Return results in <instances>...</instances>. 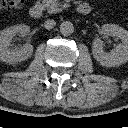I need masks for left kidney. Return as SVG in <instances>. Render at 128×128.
<instances>
[{"label":"left kidney","instance_id":"left-kidney-1","mask_svg":"<svg viewBox=\"0 0 128 128\" xmlns=\"http://www.w3.org/2000/svg\"><path fill=\"white\" fill-rule=\"evenodd\" d=\"M102 30L105 34L121 39L122 43L117 45L111 52L103 50V43L96 38L93 41L92 53L94 58L106 67H114L128 61V31L115 24H104Z\"/></svg>","mask_w":128,"mask_h":128}]
</instances>
